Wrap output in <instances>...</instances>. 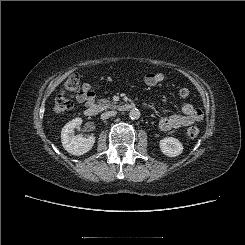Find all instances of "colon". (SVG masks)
I'll list each match as a JSON object with an SVG mask.
<instances>
[{"label":"colon","mask_w":245,"mask_h":245,"mask_svg":"<svg viewBox=\"0 0 245 245\" xmlns=\"http://www.w3.org/2000/svg\"><path fill=\"white\" fill-rule=\"evenodd\" d=\"M81 79L78 74L71 75L64 83L63 89L57 96L54 103V110L57 113H65L73 107V97L78 95L82 91ZM190 95L188 88H181L179 90V96L181 98H187ZM187 136L194 139L199 134V129L196 127H190L187 129Z\"/></svg>","instance_id":"colon-1"}]
</instances>
